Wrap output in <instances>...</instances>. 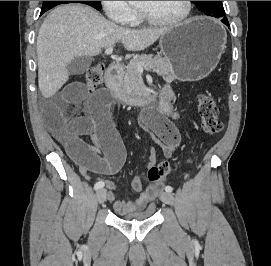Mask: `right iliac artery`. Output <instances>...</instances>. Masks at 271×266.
<instances>
[{
	"label": "right iliac artery",
	"mask_w": 271,
	"mask_h": 266,
	"mask_svg": "<svg viewBox=\"0 0 271 266\" xmlns=\"http://www.w3.org/2000/svg\"><path fill=\"white\" fill-rule=\"evenodd\" d=\"M104 185H105V183H104L103 181H98V182L95 184L94 188H95L96 190H98V189L103 188Z\"/></svg>",
	"instance_id": "obj_1"
}]
</instances>
